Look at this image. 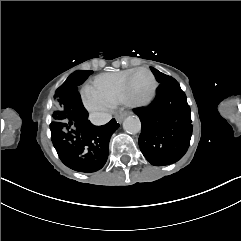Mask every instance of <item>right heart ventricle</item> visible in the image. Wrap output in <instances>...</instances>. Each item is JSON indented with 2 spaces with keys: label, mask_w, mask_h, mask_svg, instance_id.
<instances>
[{
  "label": "right heart ventricle",
  "mask_w": 241,
  "mask_h": 241,
  "mask_svg": "<svg viewBox=\"0 0 241 241\" xmlns=\"http://www.w3.org/2000/svg\"><path fill=\"white\" fill-rule=\"evenodd\" d=\"M134 71L135 70H126L99 74L86 85L84 92L89 96H98L106 100L111 106L120 104V96L125 95V93L122 92V88L124 87L126 79H128L129 75Z\"/></svg>",
  "instance_id": "e07e8e85"
}]
</instances>
